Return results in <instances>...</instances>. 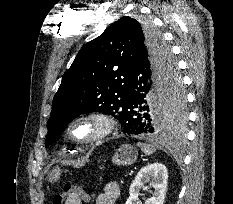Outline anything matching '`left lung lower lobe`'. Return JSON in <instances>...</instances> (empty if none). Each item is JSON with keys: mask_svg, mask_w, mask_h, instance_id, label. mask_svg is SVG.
Here are the masks:
<instances>
[{"mask_svg": "<svg viewBox=\"0 0 233 204\" xmlns=\"http://www.w3.org/2000/svg\"><path fill=\"white\" fill-rule=\"evenodd\" d=\"M178 79L181 78L176 66L169 86H174ZM166 89V83L153 67L148 51L141 48L130 71L129 95L122 106V132L127 135H141L167 134L183 130L184 121L178 127L160 131L164 119L162 111ZM153 103L160 105L161 110L155 112L152 107ZM180 136H182V131Z\"/></svg>", "mask_w": 233, "mask_h": 204, "instance_id": "obj_1", "label": "left lung lower lobe"}]
</instances>
